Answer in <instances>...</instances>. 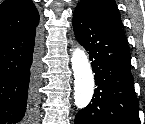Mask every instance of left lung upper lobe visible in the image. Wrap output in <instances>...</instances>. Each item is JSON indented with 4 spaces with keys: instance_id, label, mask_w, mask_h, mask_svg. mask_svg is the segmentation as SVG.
Returning a JSON list of instances; mask_svg holds the SVG:
<instances>
[{
    "instance_id": "obj_1",
    "label": "left lung upper lobe",
    "mask_w": 145,
    "mask_h": 124,
    "mask_svg": "<svg viewBox=\"0 0 145 124\" xmlns=\"http://www.w3.org/2000/svg\"><path fill=\"white\" fill-rule=\"evenodd\" d=\"M76 9L85 11L99 23L123 32L119 11L114 0H81Z\"/></svg>"
}]
</instances>
